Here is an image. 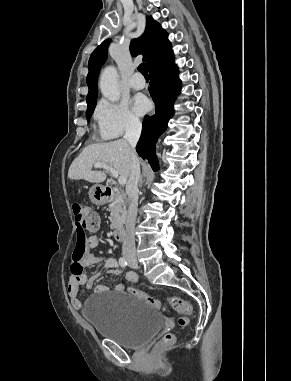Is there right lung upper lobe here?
<instances>
[{"label":"right lung upper lobe","instance_id":"1","mask_svg":"<svg viewBox=\"0 0 291 381\" xmlns=\"http://www.w3.org/2000/svg\"><path fill=\"white\" fill-rule=\"evenodd\" d=\"M146 19L145 32L141 37L132 40L130 50L133 56L143 54V61L146 62L148 69H151L170 55L172 50L166 31L152 17ZM110 42V39L105 40L90 56L88 63L89 73L87 75L89 88L86 99L87 105L97 100V78L100 68L107 58V49Z\"/></svg>","mask_w":291,"mask_h":381}]
</instances>
